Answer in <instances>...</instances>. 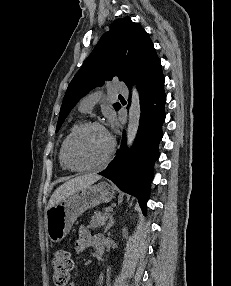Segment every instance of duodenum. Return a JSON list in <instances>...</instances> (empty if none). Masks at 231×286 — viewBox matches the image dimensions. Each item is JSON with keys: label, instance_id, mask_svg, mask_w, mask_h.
<instances>
[{"label": "duodenum", "instance_id": "duodenum-1", "mask_svg": "<svg viewBox=\"0 0 231 286\" xmlns=\"http://www.w3.org/2000/svg\"><path fill=\"white\" fill-rule=\"evenodd\" d=\"M96 256L99 260H102L104 257V238L100 239L97 243Z\"/></svg>", "mask_w": 231, "mask_h": 286}]
</instances>
